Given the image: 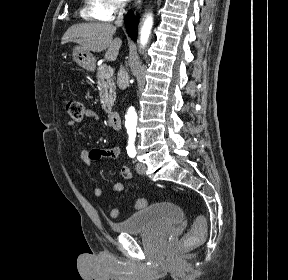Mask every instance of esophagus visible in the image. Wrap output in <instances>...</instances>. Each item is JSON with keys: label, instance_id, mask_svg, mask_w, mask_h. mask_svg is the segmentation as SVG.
<instances>
[{"label": "esophagus", "instance_id": "obj_1", "mask_svg": "<svg viewBox=\"0 0 288 280\" xmlns=\"http://www.w3.org/2000/svg\"><path fill=\"white\" fill-rule=\"evenodd\" d=\"M141 3V0H137L136 5H139Z\"/></svg>", "mask_w": 288, "mask_h": 280}]
</instances>
